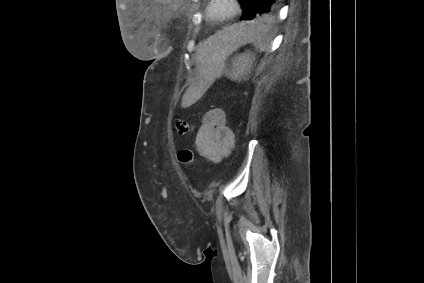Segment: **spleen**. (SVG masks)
<instances>
[{"label": "spleen", "mask_w": 424, "mask_h": 283, "mask_svg": "<svg viewBox=\"0 0 424 283\" xmlns=\"http://www.w3.org/2000/svg\"><path fill=\"white\" fill-rule=\"evenodd\" d=\"M249 35L250 36L248 40L257 39L261 35L260 26L258 24H251ZM253 61L254 58H252L249 53L237 57L234 63L235 69L229 75V78L236 81H240L241 78H245V74H247V72H250ZM219 69V67H216L214 74L217 73Z\"/></svg>", "instance_id": "obj_1"}]
</instances>
